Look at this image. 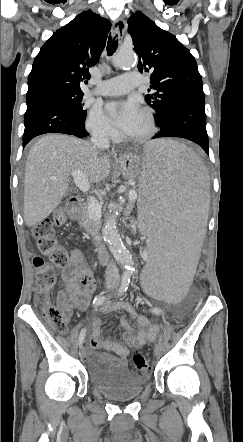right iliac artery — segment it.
<instances>
[{
	"instance_id": "82829eb1",
	"label": "right iliac artery",
	"mask_w": 243,
	"mask_h": 442,
	"mask_svg": "<svg viewBox=\"0 0 243 442\" xmlns=\"http://www.w3.org/2000/svg\"><path fill=\"white\" fill-rule=\"evenodd\" d=\"M130 277H131V273L130 272H125L123 275V279H122V283L120 286V289L118 291L117 296H120L122 294H124L127 289H128V285L130 282ZM109 299V297L107 296H96L95 299L93 300V307L96 309L99 306H101L105 301H107ZM85 333H86V329H82V331L80 332L79 335V344L81 345L84 342V338H85Z\"/></svg>"
}]
</instances>
